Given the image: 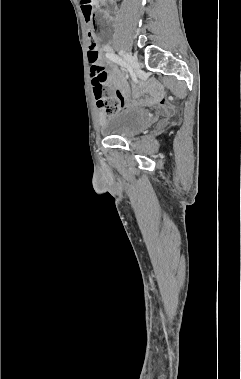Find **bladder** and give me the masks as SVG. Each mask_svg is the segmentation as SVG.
Masks as SVG:
<instances>
[{
  "label": "bladder",
  "instance_id": "31cf9c89",
  "mask_svg": "<svg viewBox=\"0 0 241 379\" xmlns=\"http://www.w3.org/2000/svg\"><path fill=\"white\" fill-rule=\"evenodd\" d=\"M157 120L153 113L128 109L111 115L101 131L106 136L129 139L139 134Z\"/></svg>",
  "mask_w": 241,
  "mask_h": 379
}]
</instances>
